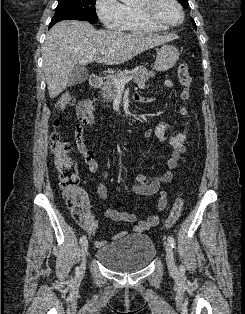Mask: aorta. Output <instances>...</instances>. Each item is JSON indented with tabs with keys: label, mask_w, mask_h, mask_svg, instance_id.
Masks as SVG:
<instances>
[{
	"label": "aorta",
	"mask_w": 245,
	"mask_h": 314,
	"mask_svg": "<svg viewBox=\"0 0 245 314\" xmlns=\"http://www.w3.org/2000/svg\"><path fill=\"white\" fill-rule=\"evenodd\" d=\"M122 2H126L127 0H121Z\"/></svg>",
	"instance_id": "762f6f07"
}]
</instances>
